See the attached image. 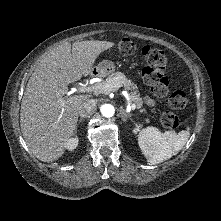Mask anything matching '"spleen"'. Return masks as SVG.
I'll list each match as a JSON object with an SVG mask.
<instances>
[{
	"mask_svg": "<svg viewBox=\"0 0 221 221\" xmlns=\"http://www.w3.org/2000/svg\"><path fill=\"white\" fill-rule=\"evenodd\" d=\"M190 136V127L179 132L161 133L151 126L140 131L138 145L149 165L159 164L177 154L186 144Z\"/></svg>",
	"mask_w": 221,
	"mask_h": 221,
	"instance_id": "spleen-1",
	"label": "spleen"
}]
</instances>
